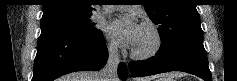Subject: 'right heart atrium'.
I'll use <instances>...</instances> for the list:
<instances>
[{
  "instance_id": "obj_1",
  "label": "right heart atrium",
  "mask_w": 237,
  "mask_h": 81,
  "mask_svg": "<svg viewBox=\"0 0 237 81\" xmlns=\"http://www.w3.org/2000/svg\"><path fill=\"white\" fill-rule=\"evenodd\" d=\"M108 49H109V52L112 54V55H116L118 53V46L115 42H110L109 45H108Z\"/></svg>"
}]
</instances>
